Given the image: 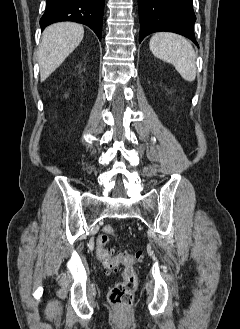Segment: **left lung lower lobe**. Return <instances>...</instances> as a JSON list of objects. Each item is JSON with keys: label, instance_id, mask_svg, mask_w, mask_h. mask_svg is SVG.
Returning a JSON list of instances; mask_svg holds the SVG:
<instances>
[{"label": "left lung lower lobe", "instance_id": "1", "mask_svg": "<svg viewBox=\"0 0 240 329\" xmlns=\"http://www.w3.org/2000/svg\"><path fill=\"white\" fill-rule=\"evenodd\" d=\"M138 8L140 42L151 33L167 31L181 34L198 45L192 0H138Z\"/></svg>", "mask_w": 240, "mask_h": 329}]
</instances>
